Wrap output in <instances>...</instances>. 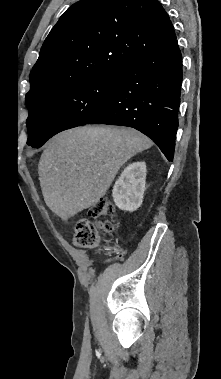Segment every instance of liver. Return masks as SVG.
I'll list each match as a JSON object with an SVG mask.
<instances>
[{
  "label": "liver",
  "mask_w": 221,
  "mask_h": 379,
  "mask_svg": "<svg viewBox=\"0 0 221 379\" xmlns=\"http://www.w3.org/2000/svg\"><path fill=\"white\" fill-rule=\"evenodd\" d=\"M152 145L147 136L132 128L85 126L59 133L38 165L46 205L63 220L94 206L120 167Z\"/></svg>",
  "instance_id": "liver-1"
}]
</instances>
